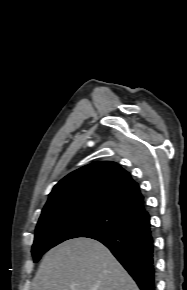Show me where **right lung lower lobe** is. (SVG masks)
<instances>
[{"instance_id": "right-lung-lower-lobe-1", "label": "right lung lower lobe", "mask_w": 187, "mask_h": 290, "mask_svg": "<svg viewBox=\"0 0 187 290\" xmlns=\"http://www.w3.org/2000/svg\"><path fill=\"white\" fill-rule=\"evenodd\" d=\"M149 216L90 235L107 246L141 290H155L154 246Z\"/></svg>"}]
</instances>
